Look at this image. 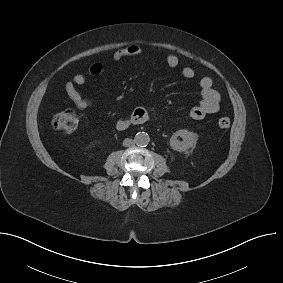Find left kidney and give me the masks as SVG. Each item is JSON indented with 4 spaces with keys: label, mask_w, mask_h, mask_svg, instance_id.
Here are the masks:
<instances>
[{
    "label": "left kidney",
    "mask_w": 283,
    "mask_h": 283,
    "mask_svg": "<svg viewBox=\"0 0 283 283\" xmlns=\"http://www.w3.org/2000/svg\"><path fill=\"white\" fill-rule=\"evenodd\" d=\"M181 137L183 141L178 140L177 138ZM197 135L186 129H181L173 133L170 138V147L178 152H186L188 149L196 146Z\"/></svg>",
    "instance_id": "1"
}]
</instances>
